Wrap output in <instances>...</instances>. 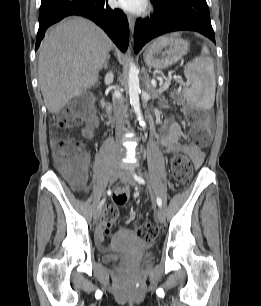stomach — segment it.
<instances>
[{
    "mask_svg": "<svg viewBox=\"0 0 261 306\" xmlns=\"http://www.w3.org/2000/svg\"><path fill=\"white\" fill-rule=\"evenodd\" d=\"M189 43L181 38L169 35L155 39L144 51L146 65L163 69L178 62L187 54Z\"/></svg>",
    "mask_w": 261,
    "mask_h": 306,
    "instance_id": "1",
    "label": "stomach"
}]
</instances>
